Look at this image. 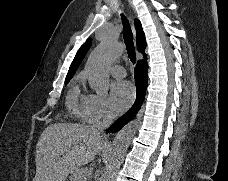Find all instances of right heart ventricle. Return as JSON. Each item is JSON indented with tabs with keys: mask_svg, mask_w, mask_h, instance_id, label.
<instances>
[{
	"mask_svg": "<svg viewBox=\"0 0 228 181\" xmlns=\"http://www.w3.org/2000/svg\"><path fill=\"white\" fill-rule=\"evenodd\" d=\"M87 80L92 83L90 73L85 71L76 73L68 95V103L78 117H82V102L85 97L80 95V86L84 85ZM79 98L81 99V104L78 103Z\"/></svg>",
	"mask_w": 228,
	"mask_h": 181,
	"instance_id": "e07e8e85",
	"label": "right heart ventricle"
}]
</instances>
